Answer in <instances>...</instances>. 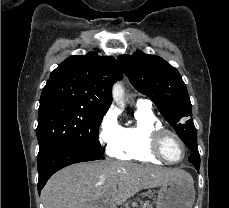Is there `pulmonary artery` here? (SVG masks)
Masks as SVG:
<instances>
[{"mask_svg": "<svg viewBox=\"0 0 229 208\" xmlns=\"http://www.w3.org/2000/svg\"><path fill=\"white\" fill-rule=\"evenodd\" d=\"M137 104L139 106H144V107H148V108H151V102L147 99H140L138 100Z\"/></svg>", "mask_w": 229, "mask_h": 208, "instance_id": "1", "label": "pulmonary artery"}]
</instances>
